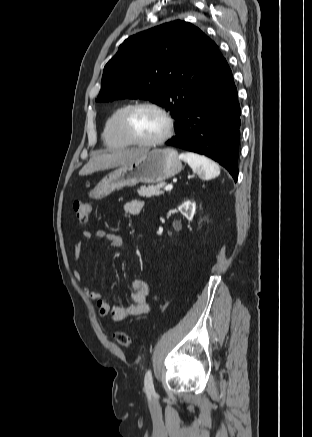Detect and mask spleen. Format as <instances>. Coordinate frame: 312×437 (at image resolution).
<instances>
[{"mask_svg": "<svg viewBox=\"0 0 312 437\" xmlns=\"http://www.w3.org/2000/svg\"><path fill=\"white\" fill-rule=\"evenodd\" d=\"M179 158L188 163L194 173L203 179H212L220 174L219 166L212 160L193 152H183Z\"/></svg>", "mask_w": 312, "mask_h": 437, "instance_id": "1", "label": "spleen"}]
</instances>
